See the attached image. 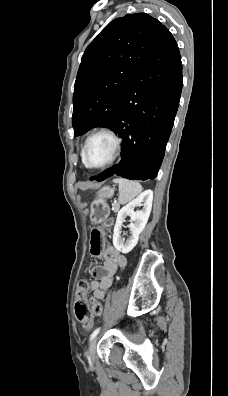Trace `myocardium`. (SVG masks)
<instances>
[{
	"label": "myocardium",
	"instance_id": "f54148a6",
	"mask_svg": "<svg viewBox=\"0 0 228 396\" xmlns=\"http://www.w3.org/2000/svg\"><path fill=\"white\" fill-rule=\"evenodd\" d=\"M98 135H107L108 137H110L113 141V150H112V154H111L110 158L105 163L100 164V165H92L88 162V159H87V148H88V145H89V142L91 141V139ZM120 149H121V139L117 135V133L114 130H112L111 128L101 127L99 129L93 131L86 138L85 143L83 145V149H82L83 163L89 169H104V168L110 166L111 164H113V162L117 159V157L119 155Z\"/></svg>",
	"mask_w": 228,
	"mask_h": 396
}]
</instances>
